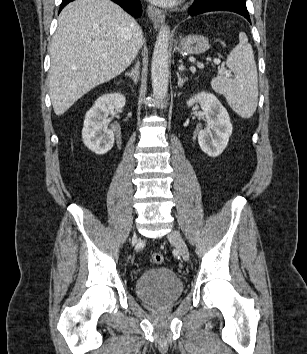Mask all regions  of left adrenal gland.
Masks as SVG:
<instances>
[{"mask_svg": "<svg viewBox=\"0 0 307 354\" xmlns=\"http://www.w3.org/2000/svg\"><path fill=\"white\" fill-rule=\"evenodd\" d=\"M177 77H178V87L182 88L184 83L188 80V78H181L178 72H177Z\"/></svg>", "mask_w": 307, "mask_h": 354, "instance_id": "left-adrenal-gland-1", "label": "left adrenal gland"}]
</instances>
